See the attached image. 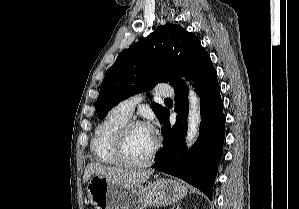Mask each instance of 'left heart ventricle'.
Segmentation results:
<instances>
[{
  "label": "left heart ventricle",
  "instance_id": "1",
  "mask_svg": "<svg viewBox=\"0 0 299 209\" xmlns=\"http://www.w3.org/2000/svg\"><path fill=\"white\" fill-rule=\"evenodd\" d=\"M154 146V138L145 127H135L127 135L125 156L131 162L147 158Z\"/></svg>",
  "mask_w": 299,
  "mask_h": 209
}]
</instances>
